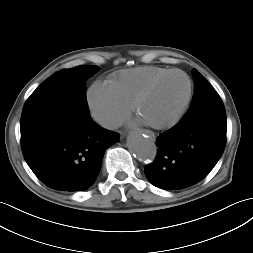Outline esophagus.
Returning a JSON list of instances; mask_svg holds the SVG:
<instances>
[{"label":"esophagus","instance_id":"esophagus-1","mask_svg":"<svg viewBox=\"0 0 253 253\" xmlns=\"http://www.w3.org/2000/svg\"><path fill=\"white\" fill-rule=\"evenodd\" d=\"M142 132H143V133H146L150 139H153V140L155 139V136H154L153 133L148 132V131H142Z\"/></svg>","mask_w":253,"mask_h":253}]
</instances>
